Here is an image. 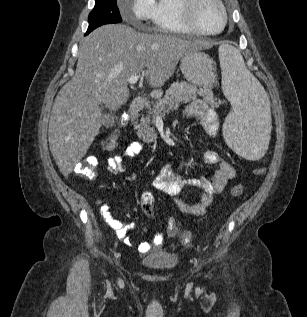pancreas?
Returning a JSON list of instances; mask_svg holds the SVG:
<instances>
[{
	"label": "pancreas",
	"instance_id": "cf45deb5",
	"mask_svg": "<svg viewBox=\"0 0 307 317\" xmlns=\"http://www.w3.org/2000/svg\"><path fill=\"white\" fill-rule=\"evenodd\" d=\"M206 90L198 88L195 85L189 84L186 81H177L166 90L164 97L161 90L155 92L156 102L153 107L149 106L146 111L147 115H141L140 123H134L137 130V136L145 143H152L157 140V134L154 127L156 114L159 112L169 113L171 110H176L181 103H187L197 98V95L204 96ZM135 117L134 119H137Z\"/></svg>",
	"mask_w": 307,
	"mask_h": 317
}]
</instances>
